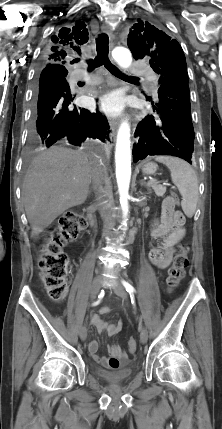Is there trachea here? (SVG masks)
Here are the masks:
<instances>
[{"mask_svg": "<svg viewBox=\"0 0 222 429\" xmlns=\"http://www.w3.org/2000/svg\"><path fill=\"white\" fill-rule=\"evenodd\" d=\"M96 50H97V56L95 57V59H89L87 61L89 71H92L95 68L100 67L101 65H104L105 68L116 77H119L122 79H138L137 77L126 76L116 66H114L111 63L108 57V53H109L108 35L104 33L99 35V37L96 39ZM77 61L78 60H74V62H77Z\"/></svg>", "mask_w": 222, "mask_h": 429, "instance_id": "obj_1", "label": "trachea"}]
</instances>
